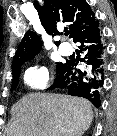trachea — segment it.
<instances>
[{"label":"trachea","mask_w":117,"mask_h":136,"mask_svg":"<svg viewBox=\"0 0 117 136\" xmlns=\"http://www.w3.org/2000/svg\"><path fill=\"white\" fill-rule=\"evenodd\" d=\"M69 31L68 30H65V35L68 36L69 35Z\"/></svg>","instance_id":"obj_1"}]
</instances>
